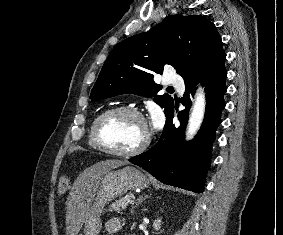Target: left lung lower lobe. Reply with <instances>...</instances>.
Returning <instances> with one entry per match:
<instances>
[{
  "mask_svg": "<svg viewBox=\"0 0 283 235\" xmlns=\"http://www.w3.org/2000/svg\"><path fill=\"white\" fill-rule=\"evenodd\" d=\"M227 72L224 62L201 75L185 81V110L178 113L180 126L173 123L174 108L166 119L161 138L145 153L129 159L142 167L159 181L196 193L203 192L206 172L210 166L212 144L216 128L221 123L220 115L225 107L223 96L227 87ZM198 82L205 86L206 111L202 126L193 140L184 141L185 127L191 106V96Z\"/></svg>",
  "mask_w": 283,
  "mask_h": 235,
  "instance_id": "1",
  "label": "left lung lower lobe"
}]
</instances>
